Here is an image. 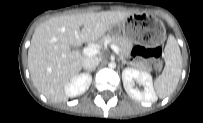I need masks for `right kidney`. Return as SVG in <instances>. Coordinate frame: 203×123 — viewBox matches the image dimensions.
Segmentation results:
<instances>
[{"mask_svg":"<svg viewBox=\"0 0 203 123\" xmlns=\"http://www.w3.org/2000/svg\"><path fill=\"white\" fill-rule=\"evenodd\" d=\"M92 76L89 73H81L73 77L64 90L68 97H77L84 94L90 87Z\"/></svg>","mask_w":203,"mask_h":123,"instance_id":"ca27d5eb","label":"right kidney"}]
</instances>
